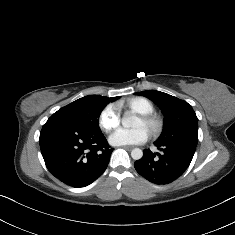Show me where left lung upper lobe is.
Segmentation results:
<instances>
[{"label":"left lung upper lobe","mask_w":235,"mask_h":235,"mask_svg":"<svg viewBox=\"0 0 235 235\" xmlns=\"http://www.w3.org/2000/svg\"><path fill=\"white\" fill-rule=\"evenodd\" d=\"M135 94L151 99L161 108L164 114L163 131L156 143L179 142L196 148L198 143V118L190 104L156 90L142 91Z\"/></svg>","instance_id":"left-lung-upper-lobe-1"}]
</instances>
